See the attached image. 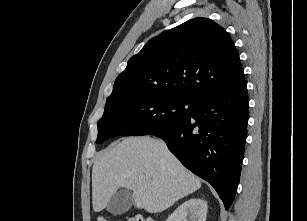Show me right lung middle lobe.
<instances>
[{"label":"right lung middle lobe","mask_w":307,"mask_h":221,"mask_svg":"<svg viewBox=\"0 0 307 221\" xmlns=\"http://www.w3.org/2000/svg\"><path fill=\"white\" fill-rule=\"evenodd\" d=\"M194 102L167 94L128 96L105 105L96 143L119 135H148L176 125L192 112Z\"/></svg>","instance_id":"obj_1"}]
</instances>
